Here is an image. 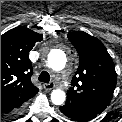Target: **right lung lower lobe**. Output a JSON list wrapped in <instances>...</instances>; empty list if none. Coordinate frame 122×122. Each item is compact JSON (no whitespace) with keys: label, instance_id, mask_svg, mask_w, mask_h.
<instances>
[{"label":"right lung lower lobe","instance_id":"right-lung-lower-lobe-1","mask_svg":"<svg viewBox=\"0 0 122 122\" xmlns=\"http://www.w3.org/2000/svg\"><path fill=\"white\" fill-rule=\"evenodd\" d=\"M20 106L11 101L1 103V116L15 115Z\"/></svg>","mask_w":122,"mask_h":122}]
</instances>
